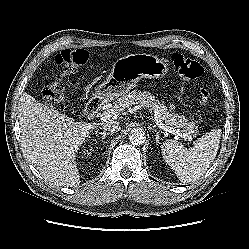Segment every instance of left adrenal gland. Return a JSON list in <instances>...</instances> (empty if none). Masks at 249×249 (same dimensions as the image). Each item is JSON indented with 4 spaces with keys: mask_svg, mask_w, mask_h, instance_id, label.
<instances>
[{
    "mask_svg": "<svg viewBox=\"0 0 249 249\" xmlns=\"http://www.w3.org/2000/svg\"><path fill=\"white\" fill-rule=\"evenodd\" d=\"M151 129H152V128H151ZM153 129H154V128H153ZM154 130H155V132H156V135H155V136H156V138H155V139H156V143H157V144H160V137H159L158 131H157L156 129H154Z\"/></svg>",
    "mask_w": 249,
    "mask_h": 249,
    "instance_id": "a2214340",
    "label": "left adrenal gland"
}]
</instances>
